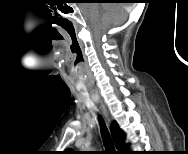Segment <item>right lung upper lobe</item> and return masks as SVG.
Segmentation results:
<instances>
[{
	"label": "right lung upper lobe",
	"instance_id": "cb5924a9",
	"mask_svg": "<svg viewBox=\"0 0 188 154\" xmlns=\"http://www.w3.org/2000/svg\"><path fill=\"white\" fill-rule=\"evenodd\" d=\"M111 130L118 150L122 153L127 152L128 145L125 143V133L119 128L117 122H113ZM68 151H70V149H68Z\"/></svg>",
	"mask_w": 188,
	"mask_h": 154
}]
</instances>
